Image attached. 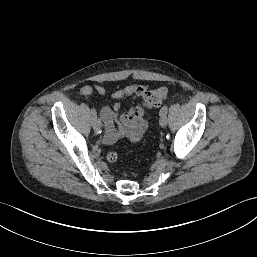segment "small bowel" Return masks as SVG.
<instances>
[{
  "mask_svg": "<svg viewBox=\"0 0 257 257\" xmlns=\"http://www.w3.org/2000/svg\"><path fill=\"white\" fill-rule=\"evenodd\" d=\"M146 92H148V87L142 84H131L112 93L101 85L92 84L81 87L78 93L80 96L92 94L110 96L116 100L112 107L103 106L100 109V116L105 128L104 141L112 144L122 138H128L132 142L142 138L148 127L143 106H130L124 113H120V111L124 101H133L138 97H144Z\"/></svg>",
  "mask_w": 257,
  "mask_h": 257,
  "instance_id": "obj_1",
  "label": "small bowel"
}]
</instances>
